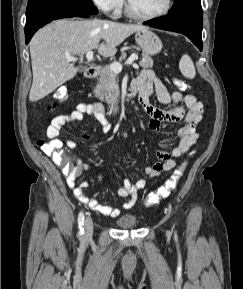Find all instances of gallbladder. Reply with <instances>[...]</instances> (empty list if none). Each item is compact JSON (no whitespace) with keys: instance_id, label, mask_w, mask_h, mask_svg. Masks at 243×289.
I'll use <instances>...</instances> for the list:
<instances>
[{"instance_id":"bac80fb5","label":"gallbladder","mask_w":243,"mask_h":289,"mask_svg":"<svg viewBox=\"0 0 243 289\" xmlns=\"http://www.w3.org/2000/svg\"><path fill=\"white\" fill-rule=\"evenodd\" d=\"M78 71H79V72H83V71H84V67H83V66H79V67H78Z\"/></svg>"}]
</instances>
